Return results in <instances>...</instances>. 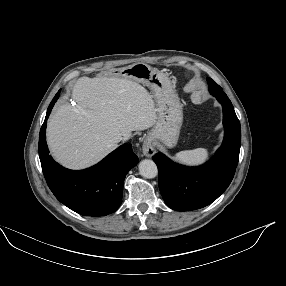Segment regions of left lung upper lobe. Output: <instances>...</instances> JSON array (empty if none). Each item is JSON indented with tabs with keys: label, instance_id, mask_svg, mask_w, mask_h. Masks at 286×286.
<instances>
[{
	"label": "left lung upper lobe",
	"instance_id": "obj_1",
	"mask_svg": "<svg viewBox=\"0 0 286 286\" xmlns=\"http://www.w3.org/2000/svg\"><path fill=\"white\" fill-rule=\"evenodd\" d=\"M207 80L209 84V91L213 96H215L216 98L227 96L223 92L222 88L218 84H216L211 78H208Z\"/></svg>",
	"mask_w": 286,
	"mask_h": 286
}]
</instances>
